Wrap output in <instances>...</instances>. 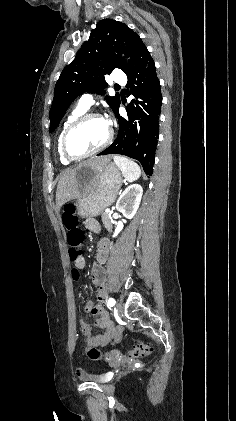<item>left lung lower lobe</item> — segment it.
<instances>
[{
  "label": "left lung lower lobe",
  "mask_w": 236,
  "mask_h": 421,
  "mask_svg": "<svg viewBox=\"0 0 236 421\" xmlns=\"http://www.w3.org/2000/svg\"><path fill=\"white\" fill-rule=\"evenodd\" d=\"M125 73L135 99L127 106L128 119L120 116L118 109L115 112L119 123L118 136L111 146L98 155H126L138 160L144 172L152 175L162 95L154 61L144 44L139 46Z\"/></svg>",
  "instance_id": "obj_1"
}]
</instances>
